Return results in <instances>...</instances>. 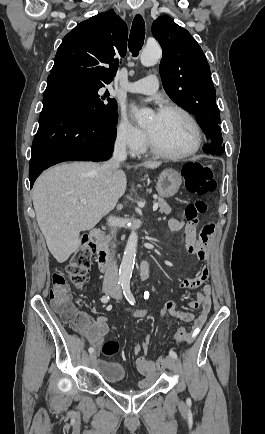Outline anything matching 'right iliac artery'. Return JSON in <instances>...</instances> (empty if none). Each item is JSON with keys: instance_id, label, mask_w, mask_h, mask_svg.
Wrapping results in <instances>:
<instances>
[{"instance_id": "82829eb1", "label": "right iliac artery", "mask_w": 265, "mask_h": 434, "mask_svg": "<svg viewBox=\"0 0 265 434\" xmlns=\"http://www.w3.org/2000/svg\"><path fill=\"white\" fill-rule=\"evenodd\" d=\"M119 284H120V282H119ZM121 285H122V283H121ZM109 300H110V296H108V295H104V296L101 297V302H103V303H107ZM88 351H89V353H93L94 352V348L90 347L88 349Z\"/></svg>"}]
</instances>
